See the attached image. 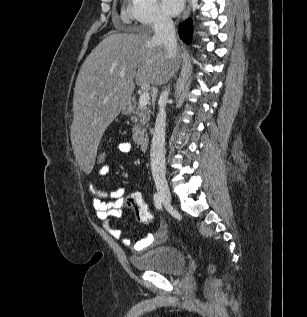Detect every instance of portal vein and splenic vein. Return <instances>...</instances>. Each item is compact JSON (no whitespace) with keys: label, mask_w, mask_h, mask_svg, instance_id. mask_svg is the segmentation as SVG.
<instances>
[{"label":"portal vein and splenic vein","mask_w":307,"mask_h":317,"mask_svg":"<svg viewBox=\"0 0 307 317\" xmlns=\"http://www.w3.org/2000/svg\"><path fill=\"white\" fill-rule=\"evenodd\" d=\"M120 76H121V77H124V73L121 72V73H120ZM149 100H150V95H149L148 91H144V92L140 95V97H139V105H140L141 107H144V106L147 105V103L149 102Z\"/></svg>","instance_id":"1"}]
</instances>
